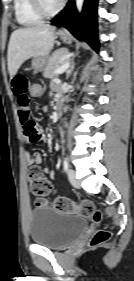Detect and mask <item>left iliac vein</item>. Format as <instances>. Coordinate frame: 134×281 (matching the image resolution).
Masks as SVG:
<instances>
[{
	"mask_svg": "<svg viewBox=\"0 0 134 281\" xmlns=\"http://www.w3.org/2000/svg\"><path fill=\"white\" fill-rule=\"evenodd\" d=\"M68 179L73 186H79V181L77 180L76 172L73 169H68L67 171Z\"/></svg>",
	"mask_w": 134,
	"mask_h": 281,
	"instance_id": "1",
	"label": "left iliac vein"
}]
</instances>
